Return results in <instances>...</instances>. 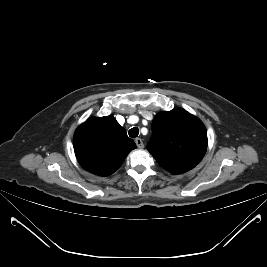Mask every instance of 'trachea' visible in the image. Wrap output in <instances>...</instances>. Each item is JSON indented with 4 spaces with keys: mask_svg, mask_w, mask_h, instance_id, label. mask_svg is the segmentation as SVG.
<instances>
[{
    "mask_svg": "<svg viewBox=\"0 0 267 267\" xmlns=\"http://www.w3.org/2000/svg\"><path fill=\"white\" fill-rule=\"evenodd\" d=\"M128 134H129V137L135 138L139 134V129L137 127H133L129 130Z\"/></svg>",
    "mask_w": 267,
    "mask_h": 267,
    "instance_id": "3493384b",
    "label": "trachea"
}]
</instances>
